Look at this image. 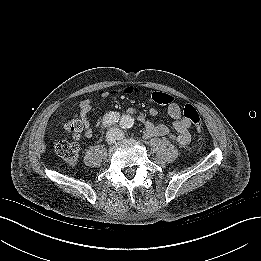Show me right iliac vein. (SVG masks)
<instances>
[{
    "label": "right iliac vein",
    "instance_id": "1",
    "mask_svg": "<svg viewBox=\"0 0 261 261\" xmlns=\"http://www.w3.org/2000/svg\"><path fill=\"white\" fill-rule=\"evenodd\" d=\"M116 139H117V136L115 133H109L107 136H106V141L109 145H112L116 142Z\"/></svg>",
    "mask_w": 261,
    "mask_h": 261
}]
</instances>
